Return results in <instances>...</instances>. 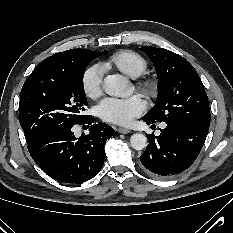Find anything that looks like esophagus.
I'll return each mask as SVG.
<instances>
[{
	"instance_id": "1",
	"label": "esophagus",
	"mask_w": 233,
	"mask_h": 233,
	"mask_svg": "<svg viewBox=\"0 0 233 233\" xmlns=\"http://www.w3.org/2000/svg\"><path fill=\"white\" fill-rule=\"evenodd\" d=\"M118 132L121 133V134H128L131 131L129 129H127V128H118Z\"/></svg>"
}]
</instances>
